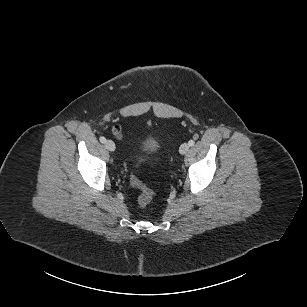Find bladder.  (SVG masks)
I'll use <instances>...</instances> for the list:
<instances>
[{"label": "bladder", "instance_id": "obj_1", "mask_svg": "<svg viewBox=\"0 0 307 307\" xmlns=\"http://www.w3.org/2000/svg\"><path fill=\"white\" fill-rule=\"evenodd\" d=\"M139 148L144 154L154 155L160 151L161 144L154 136L147 135L141 140Z\"/></svg>", "mask_w": 307, "mask_h": 307}]
</instances>
